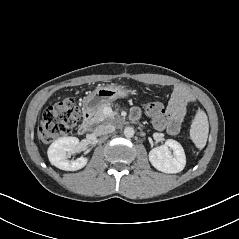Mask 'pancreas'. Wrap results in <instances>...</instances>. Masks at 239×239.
I'll list each match as a JSON object with an SVG mask.
<instances>
[{
  "instance_id": "cf45deb5",
  "label": "pancreas",
  "mask_w": 239,
  "mask_h": 239,
  "mask_svg": "<svg viewBox=\"0 0 239 239\" xmlns=\"http://www.w3.org/2000/svg\"><path fill=\"white\" fill-rule=\"evenodd\" d=\"M110 106H111V104L107 103V104H104L101 107H99L97 109V111L94 113L93 121L95 123H101V122L110 123V122H112L114 119L115 113H112L110 115H106L104 113V109L106 107H110Z\"/></svg>"
}]
</instances>
